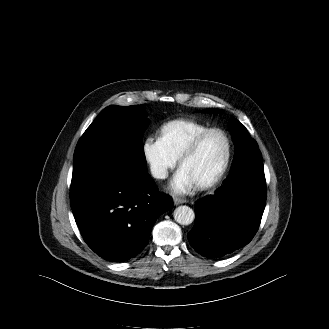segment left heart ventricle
<instances>
[{
	"mask_svg": "<svg viewBox=\"0 0 329 329\" xmlns=\"http://www.w3.org/2000/svg\"><path fill=\"white\" fill-rule=\"evenodd\" d=\"M226 153V141L219 133H212L201 142L196 153L181 168L198 185L211 177L221 167Z\"/></svg>",
	"mask_w": 329,
	"mask_h": 329,
	"instance_id": "left-heart-ventricle-1",
	"label": "left heart ventricle"
}]
</instances>
